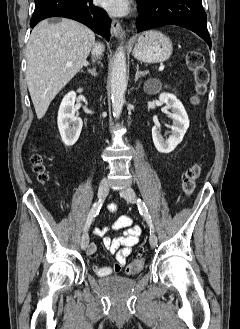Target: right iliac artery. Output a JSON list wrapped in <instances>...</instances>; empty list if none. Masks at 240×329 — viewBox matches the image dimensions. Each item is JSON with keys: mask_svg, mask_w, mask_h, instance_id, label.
Here are the masks:
<instances>
[{"mask_svg": "<svg viewBox=\"0 0 240 329\" xmlns=\"http://www.w3.org/2000/svg\"><path fill=\"white\" fill-rule=\"evenodd\" d=\"M104 200L102 199H99V201L97 203H95L93 205V207L91 208L89 214H88V217H87V220H86V223H85V226H84V232L88 231L92 221H93V218L98 215L100 209H101V206L103 204Z\"/></svg>", "mask_w": 240, "mask_h": 329, "instance_id": "82829eb1", "label": "right iliac artery"}]
</instances>
